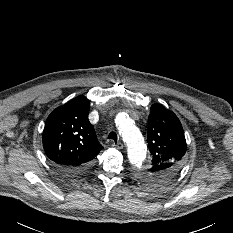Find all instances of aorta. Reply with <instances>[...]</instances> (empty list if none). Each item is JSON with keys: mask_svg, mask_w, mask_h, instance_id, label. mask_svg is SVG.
Segmentation results:
<instances>
[{"mask_svg": "<svg viewBox=\"0 0 233 233\" xmlns=\"http://www.w3.org/2000/svg\"><path fill=\"white\" fill-rule=\"evenodd\" d=\"M119 132L128 147V159L133 166L140 167L146 158V146L139 129L126 113H119L115 119Z\"/></svg>", "mask_w": 233, "mask_h": 233, "instance_id": "obj_1", "label": "aorta"}]
</instances>
